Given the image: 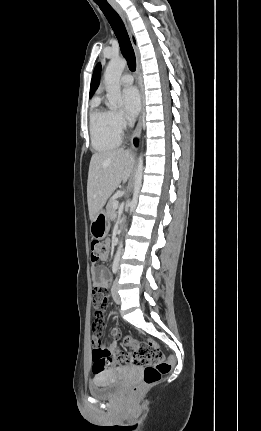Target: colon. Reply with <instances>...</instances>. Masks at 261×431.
<instances>
[{"instance_id":"colon-1","label":"colon","mask_w":261,"mask_h":431,"mask_svg":"<svg viewBox=\"0 0 261 431\" xmlns=\"http://www.w3.org/2000/svg\"><path fill=\"white\" fill-rule=\"evenodd\" d=\"M107 254V243L96 240L91 242V260L93 262L103 259ZM125 342L132 349L130 354L126 357V362L143 367V386H150L157 383L162 375L171 370V362L164 357L162 350L155 341L148 340L139 343L127 338ZM93 358L94 366L92 368V373L94 375H101L103 370L106 372L114 371L116 362L115 360H110L109 352L106 349L94 350ZM143 386L138 385L133 387L131 390L132 394H138Z\"/></svg>"}]
</instances>
